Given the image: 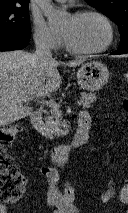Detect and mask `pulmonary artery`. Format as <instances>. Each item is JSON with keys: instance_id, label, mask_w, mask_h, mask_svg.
<instances>
[{"instance_id": "obj_1", "label": "pulmonary artery", "mask_w": 128, "mask_h": 213, "mask_svg": "<svg viewBox=\"0 0 128 213\" xmlns=\"http://www.w3.org/2000/svg\"><path fill=\"white\" fill-rule=\"evenodd\" d=\"M56 1H59V2H65L66 0H56Z\"/></svg>"}]
</instances>
